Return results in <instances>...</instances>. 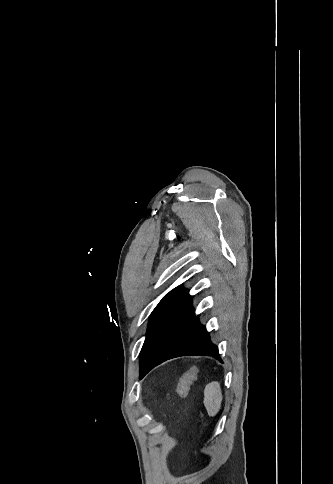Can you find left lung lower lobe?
Segmentation results:
<instances>
[{"label":"left lung lower lobe","instance_id":"obj_1","mask_svg":"<svg viewBox=\"0 0 333 484\" xmlns=\"http://www.w3.org/2000/svg\"><path fill=\"white\" fill-rule=\"evenodd\" d=\"M185 355H208L221 361L218 347L195 316L192 297L177 287L165 295L150 316L140 353V379L160 363Z\"/></svg>","mask_w":333,"mask_h":484}]
</instances>
